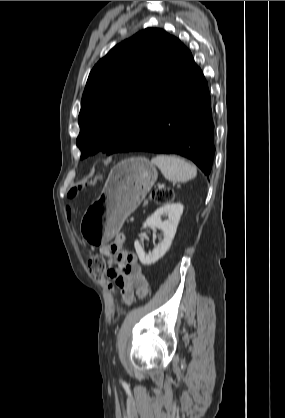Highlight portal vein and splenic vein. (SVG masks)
<instances>
[{
    "label": "portal vein and splenic vein",
    "instance_id": "1",
    "mask_svg": "<svg viewBox=\"0 0 285 418\" xmlns=\"http://www.w3.org/2000/svg\"><path fill=\"white\" fill-rule=\"evenodd\" d=\"M163 187H164V184H159V185H158V188H159V189H162Z\"/></svg>",
    "mask_w": 285,
    "mask_h": 418
}]
</instances>
